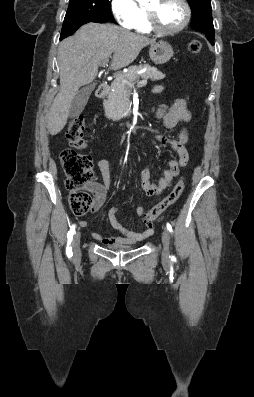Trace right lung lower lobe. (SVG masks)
<instances>
[{
  "mask_svg": "<svg viewBox=\"0 0 254 397\" xmlns=\"http://www.w3.org/2000/svg\"><path fill=\"white\" fill-rule=\"evenodd\" d=\"M89 22L105 23L107 21H95L87 18L64 19L60 40L72 35L80 26Z\"/></svg>",
  "mask_w": 254,
  "mask_h": 397,
  "instance_id": "obj_1",
  "label": "right lung lower lobe"
}]
</instances>
